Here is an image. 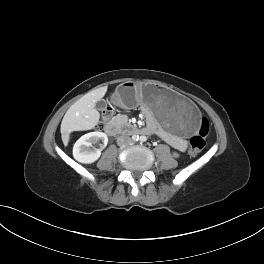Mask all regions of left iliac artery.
I'll return each instance as SVG.
<instances>
[{
	"label": "left iliac artery",
	"mask_w": 264,
	"mask_h": 264,
	"mask_svg": "<svg viewBox=\"0 0 264 264\" xmlns=\"http://www.w3.org/2000/svg\"><path fill=\"white\" fill-rule=\"evenodd\" d=\"M147 141V137L146 136H141L140 137V142L141 143H144V142H146Z\"/></svg>",
	"instance_id": "1"
}]
</instances>
